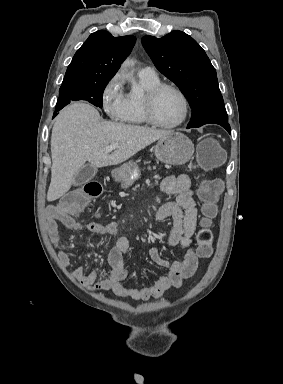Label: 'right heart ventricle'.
Returning a JSON list of instances; mask_svg holds the SVG:
<instances>
[{
  "label": "right heart ventricle",
  "mask_w": 283,
  "mask_h": 384,
  "mask_svg": "<svg viewBox=\"0 0 283 384\" xmlns=\"http://www.w3.org/2000/svg\"><path fill=\"white\" fill-rule=\"evenodd\" d=\"M139 83L147 91L153 86L160 83L159 79L157 80H148L139 76ZM142 96L134 97L133 95L126 96V111H125V122L129 126L133 127H144L147 125L145 121L143 112H142Z\"/></svg>",
  "instance_id": "obj_1"
}]
</instances>
